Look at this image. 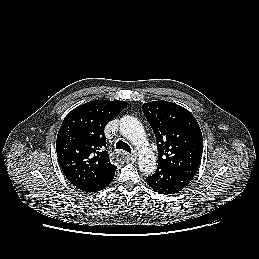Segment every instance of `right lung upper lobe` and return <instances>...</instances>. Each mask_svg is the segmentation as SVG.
Wrapping results in <instances>:
<instances>
[{"instance_id": "cb5924a9", "label": "right lung upper lobe", "mask_w": 259, "mask_h": 259, "mask_svg": "<svg viewBox=\"0 0 259 259\" xmlns=\"http://www.w3.org/2000/svg\"><path fill=\"white\" fill-rule=\"evenodd\" d=\"M127 103L95 100L73 109L58 131L56 151L61 169L76 187L92 183L117 167L106 151L104 127Z\"/></svg>"}]
</instances>
